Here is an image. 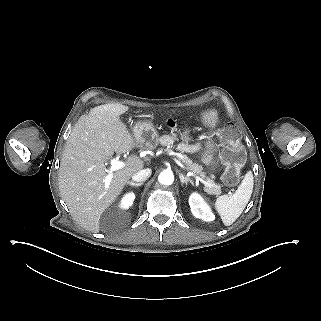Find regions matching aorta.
Here are the masks:
<instances>
[{"label": "aorta", "instance_id": "762f6f07", "mask_svg": "<svg viewBox=\"0 0 321 321\" xmlns=\"http://www.w3.org/2000/svg\"><path fill=\"white\" fill-rule=\"evenodd\" d=\"M158 180L161 184L171 185L174 181V175L172 171L164 170L163 172L160 173Z\"/></svg>", "mask_w": 321, "mask_h": 321}]
</instances>
